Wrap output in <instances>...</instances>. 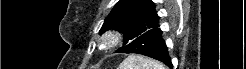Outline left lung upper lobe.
Returning a JSON list of instances; mask_svg holds the SVG:
<instances>
[{
	"mask_svg": "<svg viewBox=\"0 0 246 69\" xmlns=\"http://www.w3.org/2000/svg\"><path fill=\"white\" fill-rule=\"evenodd\" d=\"M159 16L151 0H120L102 25L100 34L114 29L124 34L123 45L158 27Z\"/></svg>",
	"mask_w": 246,
	"mask_h": 69,
	"instance_id": "1",
	"label": "left lung upper lobe"
}]
</instances>
